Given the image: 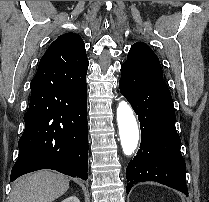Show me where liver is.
<instances>
[{
  "label": "liver",
  "instance_id": "obj_1",
  "mask_svg": "<svg viewBox=\"0 0 209 202\" xmlns=\"http://www.w3.org/2000/svg\"><path fill=\"white\" fill-rule=\"evenodd\" d=\"M69 189V179L59 173L39 171L19 178L10 202H52Z\"/></svg>",
  "mask_w": 209,
  "mask_h": 202
}]
</instances>
